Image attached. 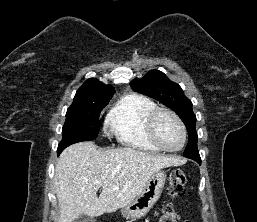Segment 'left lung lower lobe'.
Masks as SVG:
<instances>
[{"label": "left lung lower lobe", "instance_id": "1", "mask_svg": "<svg viewBox=\"0 0 257 222\" xmlns=\"http://www.w3.org/2000/svg\"><path fill=\"white\" fill-rule=\"evenodd\" d=\"M195 161L198 162L199 164H201V159H197Z\"/></svg>", "mask_w": 257, "mask_h": 222}]
</instances>
